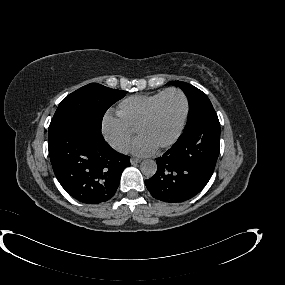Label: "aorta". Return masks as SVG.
<instances>
[{
	"mask_svg": "<svg viewBox=\"0 0 285 285\" xmlns=\"http://www.w3.org/2000/svg\"><path fill=\"white\" fill-rule=\"evenodd\" d=\"M140 169L145 176L152 177L157 171V164L152 159H146L141 162Z\"/></svg>",
	"mask_w": 285,
	"mask_h": 285,
	"instance_id": "1",
	"label": "aorta"
}]
</instances>
